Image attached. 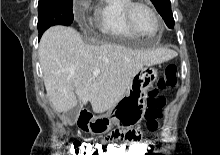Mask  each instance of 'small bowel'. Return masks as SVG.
Listing matches in <instances>:
<instances>
[{
  "mask_svg": "<svg viewBox=\"0 0 220 155\" xmlns=\"http://www.w3.org/2000/svg\"><path fill=\"white\" fill-rule=\"evenodd\" d=\"M112 130H107V135L100 140H94V145L125 146L114 144L115 141H139L141 138V126H112Z\"/></svg>",
  "mask_w": 220,
  "mask_h": 155,
  "instance_id": "small-bowel-1",
  "label": "small bowel"
}]
</instances>
